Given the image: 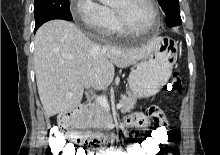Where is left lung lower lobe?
<instances>
[{"label": "left lung lower lobe", "instance_id": "left-lung-lower-lobe-1", "mask_svg": "<svg viewBox=\"0 0 220 155\" xmlns=\"http://www.w3.org/2000/svg\"><path fill=\"white\" fill-rule=\"evenodd\" d=\"M166 24L169 27H174L182 24L180 13H173L166 16Z\"/></svg>", "mask_w": 220, "mask_h": 155}]
</instances>
